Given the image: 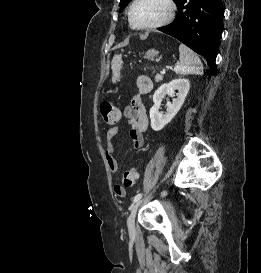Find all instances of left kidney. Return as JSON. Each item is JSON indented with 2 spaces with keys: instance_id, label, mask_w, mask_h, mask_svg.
Instances as JSON below:
<instances>
[{
  "instance_id": "obj_1",
  "label": "left kidney",
  "mask_w": 261,
  "mask_h": 273,
  "mask_svg": "<svg viewBox=\"0 0 261 273\" xmlns=\"http://www.w3.org/2000/svg\"><path fill=\"white\" fill-rule=\"evenodd\" d=\"M190 84L187 79H174L170 83L161 85L153 95L154 105L150 109L151 128L154 131H160L167 125L182 107ZM175 90H178L177 98H174L172 103L167 102V112L165 114L159 112L161 102L165 95H174Z\"/></svg>"
}]
</instances>
